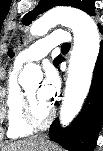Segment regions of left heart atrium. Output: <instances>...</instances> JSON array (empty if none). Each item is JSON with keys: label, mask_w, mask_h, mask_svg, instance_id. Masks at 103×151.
Wrapping results in <instances>:
<instances>
[{"label": "left heart atrium", "mask_w": 103, "mask_h": 151, "mask_svg": "<svg viewBox=\"0 0 103 151\" xmlns=\"http://www.w3.org/2000/svg\"><path fill=\"white\" fill-rule=\"evenodd\" d=\"M59 86H60V81H59L58 74L53 68L48 67L46 69L45 80L40 85L39 88L40 100L47 105H51L58 93Z\"/></svg>", "instance_id": "obj_1"}]
</instances>
